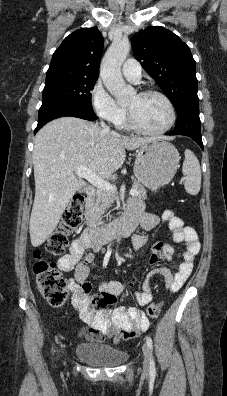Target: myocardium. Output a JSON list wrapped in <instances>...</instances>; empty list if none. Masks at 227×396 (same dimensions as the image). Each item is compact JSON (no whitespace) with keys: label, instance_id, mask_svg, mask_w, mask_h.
<instances>
[{"label":"myocardium","instance_id":"obj_1","mask_svg":"<svg viewBox=\"0 0 227 396\" xmlns=\"http://www.w3.org/2000/svg\"><path fill=\"white\" fill-rule=\"evenodd\" d=\"M138 94L140 96L155 95V96L160 97L168 107L169 115H170L169 121L164 127L160 128V129L148 130V129L141 127L138 124V122L136 121L132 111L129 108H126L127 122H128L129 127L137 133L144 134V135H151V136L162 135V134L168 132L174 126L175 121H176V109H175L174 104L170 100V98L163 92L154 90V89H146V90L139 92Z\"/></svg>","mask_w":227,"mask_h":396}]
</instances>
